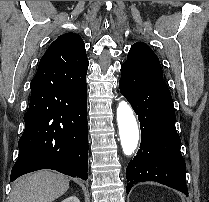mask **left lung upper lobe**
<instances>
[{"instance_id": "left-lung-upper-lobe-1", "label": "left lung upper lobe", "mask_w": 209, "mask_h": 202, "mask_svg": "<svg viewBox=\"0 0 209 202\" xmlns=\"http://www.w3.org/2000/svg\"><path fill=\"white\" fill-rule=\"evenodd\" d=\"M139 70L140 72L163 80V71L158 57L152 49L143 42L135 43L123 64Z\"/></svg>"}]
</instances>
